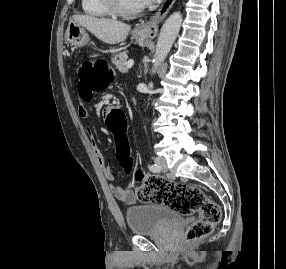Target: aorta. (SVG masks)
<instances>
[{"instance_id": "obj_1", "label": "aorta", "mask_w": 286, "mask_h": 269, "mask_svg": "<svg viewBox=\"0 0 286 269\" xmlns=\"http://www.w3.org/2000/svg\"><path fill=\"white\" fill-rule=\"evenodd\" d=\"M182 24V15L180 12H174L163 24L156 44L155 60L152 72L154 73L158 66L166 59L170 49L179 34Z\"/></svg>"}]
</instances>
